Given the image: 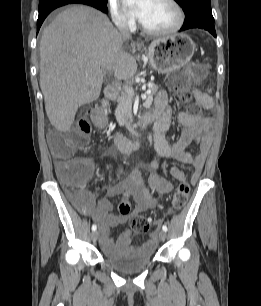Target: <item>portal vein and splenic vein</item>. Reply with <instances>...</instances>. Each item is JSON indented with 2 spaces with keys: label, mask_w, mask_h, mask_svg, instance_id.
<instances>
[{
  "label": "portal vein and splenic vein",
  "mask_w": 261,
  "mask_h": 306,
  "mask_svg": "<svg viewBox=\"0 0 261 306\" xmlns=\"http://www.w3.org/2000/svg\"><path fill=\"white\" fill-rule=\"evenodd\" d=\"M123 89H124L127 93L134 95V91H133V89H132L131 87H129V86H124ZM141 97H142V99H145V100H146L145 106H146V107H149V106L151 105L152 101H153V98H152V97H147V93H144Z\"/></svg>",
  "instance_id": "obj_1"
}]
</instances>
